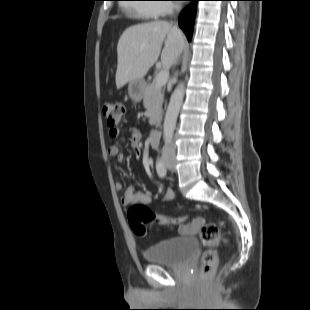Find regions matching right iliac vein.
I'll list each match as a JSON object with an SVG mask.
<instances>
[{
    "label": "right iliac vein",
    "instance_id": "63e3f726",
    "mask_svg": "<svg viewBox=\"0 0 310 310\" xmlns=\"http://www.w3.org/2000/svg\"><path fill=\"white\" fill-rule=\"evenodd\" d=\"M169 160V158L168 159H165V161L167 162Z\"/></svg>",
    "mask_w": 310,
    "mask_h": 310
}]
</instances>
